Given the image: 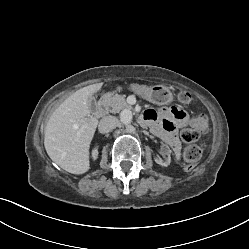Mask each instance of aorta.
I'll return each instance as SVG.
<instances>
[{
    "label": "aorta",
    "instance_id": "762f6f07",
    "mask_svg": "<svg viewBox=\"0 0 249 249\" xmlns=\"http://www.w3.org/2000/svg\"><path fill=\"white\" fill-rule=\"evenodd\" d=\"M120 118L123 124H129L132 120V112L130 110H124L120 114Z\"/></svg>",
    "mask_w": 249,
    "mask_h": 249
}]
</instances>
